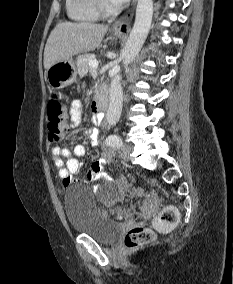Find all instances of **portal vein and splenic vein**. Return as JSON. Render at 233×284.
Wrapping results in <instances>:
<instances>
[{"label":"portal vein and splenic vein","mask_w":233,"mask_h":284,"mask_svg":"<svg viewBox=\"0 0 233 284\" xmlns=\"http://www.w3.org/2000/svg\"><path fill=\"white\" fill-rule=\"evenodd\" d=\"M89 65L93 68L96 69L99 65V62L96 59H92L89 61Z\"/></svg>","instance_id":"18ae733b"}]
</instances>
